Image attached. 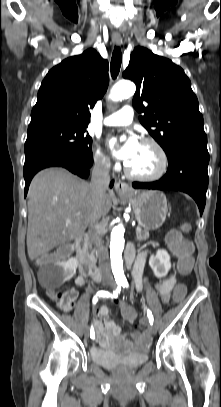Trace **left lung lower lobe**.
Here are the masks:
<instances>
[{"instance_id": "1", "label": "left lung lower lobe", "mask_w": 221, "mask_h": 407, "mask_svg": "<svg viewBox=\"0 0 221 407\" xmlns=\"http://www.w3.org/2000/svg\"><path fill=\"white\" fill-rule=\"evenodd\" d=\"M169 165L165 176L154 182H134L136 189L176 190L188 193L202 215L208 187L209 153L207 138L188 136L178 140L167 154Z\"/></svg>"}]
</instances>
